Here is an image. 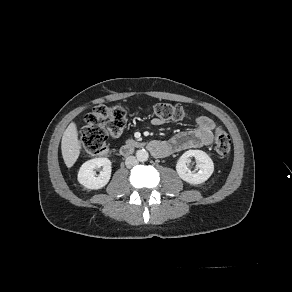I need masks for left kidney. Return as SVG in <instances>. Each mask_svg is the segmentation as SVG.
I'll list each match as a JSON object with an SVG mask.
<instances>
[{
  "label": "left kidney",
  "mask_w": 292,
  "mask_h": 292,
  "mask_svg": "<svg viewBox=\"0 0 292 292\" xmlns=\"http://www.w3.org/2000/svg\"><path fill=\"white\" fill-rule=\"evenodd\" d=\"M191 157H195L199 162V171L197 173L191 172L187 167ZM176 171L182 180L189 184L197 185L209 179L214 172V164L212 159L204 151L188 150L179 158L176 164Z\"/></svg>",
  "instance_id": "obj_1"
}]
</instances>
